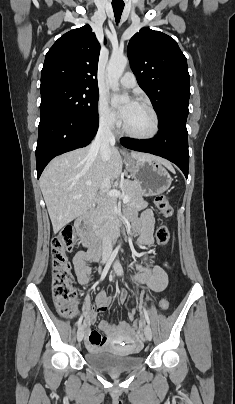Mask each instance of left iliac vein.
I'll use <instances>...</instances> for the list:
<instances>
[{"label": "left iliac vein", "instance_id": "4c4485c4", "mask_svg": "<svg viewBox=\"0 0 235 404\" xmlns=\"http://www.w3.org/2000/svg\"><path fill=\"white\" fill-rule=\"evenodd\" d=\"M114 271L118 276L122 275V273H123V269H122V267H121V265H120V263L118 261L114 264ZM144 335H145V337H146V339L148 341H151V339H152V330H151L149 325H145V327H144Z\"/></svg>", "mask_w": 235, "mask_h": 404}]
</instances>
